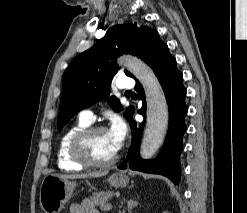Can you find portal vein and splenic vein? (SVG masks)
<instances>
[{"label": "portal vein and splenic vein", "mask_w": 247, "mask_h": 213, "mask_svg": "<svg viewBox=\"0 0 247 213\" xmlns=\"http://www.w3.org/2000/svg\"><path fill=\"white\" fill-rule=\"evenodd\" d=\"M104 209H105V210H110V209H112V204H111V203L106 204V206H105Z\"/></svg>", "instance_id": "18ae733b"}]
</instances>
